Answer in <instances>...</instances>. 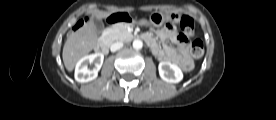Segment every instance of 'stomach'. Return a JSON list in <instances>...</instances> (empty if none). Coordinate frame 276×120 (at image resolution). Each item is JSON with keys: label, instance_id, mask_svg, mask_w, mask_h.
<instances>
[{"label": "stomach", "instance_id": "1", "mask_svg": "<svg viewBox=\"0 0 276 120\" xmlns=\"http://www.w3.org/2000/svg\"><path fill=\"white\" fill-rule=\"evenodd\" d=\"M182 15L174 12L169 14H163L161 12H153L150 14L149 19L139 20V24L147 27H161L165 22H173L177 24L181 20Z\"/></svg>", "mask_w": 276, "mask_h": 120}]
</instances>
